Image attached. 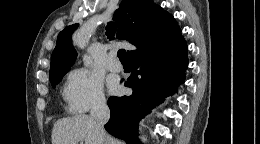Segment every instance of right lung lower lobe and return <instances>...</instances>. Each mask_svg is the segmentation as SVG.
Instances as JSON below:
<instances>
[{
  "mask_svg": "<svg viewBox=\"0 0 260 144\" xmlns=\"http://www.w3.org/2000/svg\"><path fill=\"white\" fill-rule=\"evenodd\" d=\"M187 52V44L180 34L172 41L129 56L132 74L124 85L132 88L133 93L108 99L111 115L105 129L127 143L140 144L139 121L184 83Z\"/></svg>",
  "mask_w": 260,
  "mask_h": 144,
  "instance_id": "obj_1",
  "label": "right lung lower lobe"
}]
</instances>
